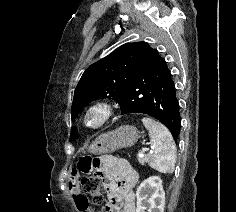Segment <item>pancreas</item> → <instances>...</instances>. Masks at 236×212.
<instances>
[{"label":"pancreas","instance_id":"pancreas-1","mask_svg":"<svg viewBox=\"0 0 236 212\" xmlns=\"http://www.w3.org/2000/svg\"><path fill=\"white\" fill-rule=\"evenodd\" d=\"M152 160V156L151 155H144L142 157H138V161L139 163H141L142 165H144L145 163H150Z\"/></svg>","mask_w":236,"mask_h":212}]
</instances>
